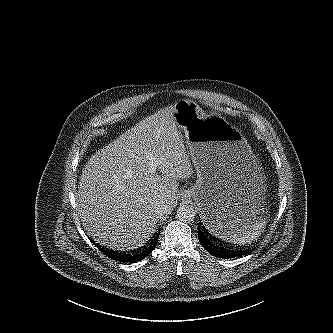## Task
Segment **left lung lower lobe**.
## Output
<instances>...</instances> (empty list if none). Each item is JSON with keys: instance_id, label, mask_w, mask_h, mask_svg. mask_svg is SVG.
I'll use <instances>...</instances> for the list:
<instances>
[{"instance_id": "left-lung-lower-lobe-1", "label": "left lung lower lobe", "mask_w": 333, "mask_h": 333, "mask_svg": "<svg viewBox=\"0 0 333 333\" xmlns=\"http://www.w3.org/2000/svg\"><path fill=\"white\" fill-rule=\"evenodd\" d=\"M199 225V224H198ZM212 232L204 227L202 223L198 226V238L201 245L213 256L218 258H233L245 255L248 251L237 250L225 246L222 240L213 236Z\"/></svg>"}]
</instances>
